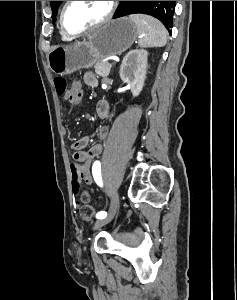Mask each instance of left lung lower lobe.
I'll return each instance as SVG.
<instances>
[{
  "mask_svg": "<svg viewBox=\"0 0 237 300\" xmlns=\"http://www.w3.org/2000/svg\"><path fill=\"white\" fill-rule=\"evenodd\" d=\"M168 4H175V2H171V1H164V5H168Z\"/></svg>",
  "mask_w": 237,
  "mask_h": 300,
  "instance_id": "left-lung-lower-lobe-1",
  "label": "left lung lower lobe"
}]
</instances>
